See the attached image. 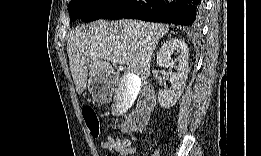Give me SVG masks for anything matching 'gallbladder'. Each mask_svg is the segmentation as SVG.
Instances as JSON below:
<instances>
[{
  "mask_svg": "<svg viewBox=\"0 0 261 156\" xmlns=\"http://www.w3.org/2000/svg\"><path fill=\"white\" fill-rule=\"evenodd\" d=\"M120 77L119 83H121L120 89L116 91V98H113L115 101L110 107L113 111V116L115 118L123 117V113H126L129 108H132L133 102H135L137 95H139V90L141 89V82L140 76H136L132 73H124Z\"/></svg>",
  "mask_w": 261,
  "mask_h": 156,
  "instance_id": "gallbladder-1",
  "label": "gallbladder"
}]
</instances>
